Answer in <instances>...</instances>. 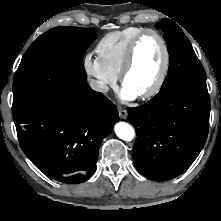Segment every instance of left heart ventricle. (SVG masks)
I'll list each match as a JSON object with an SVG mask.
<instances>
[{"label": "left heart ventricle", "mask_w": 221, "mask_h": 221, "mask_svg": "<svg viewBox=\"0 0 221 221\" xmlns=\"http://www.w3.org/2000/svg\"><path fill=\"white\" fill-rule=\"evenodd\" d=\"M163 63V49L159 40L145 36L139 43L134 64L127 74L124 86L140 95L151 88L158 78Z\"/></svg>", "instance_id": "b2bd125f"}]
</instances>
